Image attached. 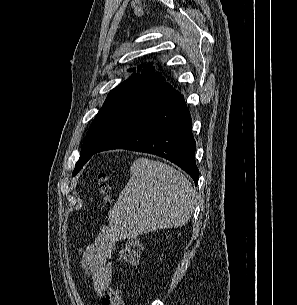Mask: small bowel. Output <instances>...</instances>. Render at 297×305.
Masks as SVG:
<instances>
[{"label": "small bowel", "instance_id": "c3829d8e", "mask_svg": "<svg viewBox=\"0 0 297 305\" xmlns=\"http://www.w3.org/2000/svg\"><path fill=\"white\" fill-rule=\"evenodd\" d=\"M118 237L106 226L85 248L79 250L82 267L98 297H102L113 282L110 259Z\"/></svg>", "mask_w": 297, "mask_h": 305}]
</instances>
